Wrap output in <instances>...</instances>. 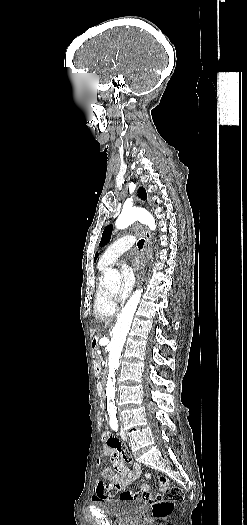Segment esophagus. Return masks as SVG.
<instances>
[{
	"instance_id": "esophagus-1",
	"label": "esophagus",
	"mask_w": 247,
	"mask_h": 525,
	"mask_svg": "<svg viewBox=\"0 0 247 525\" xmlns=\"http://www.w3.org/2000/svg\"><path fill=\"white\" fill-rule=\"evenodd\" d=\"M145 236H146V242H145V247H144L145 259L144 261H142V266H147V261L150 258V254H151V247H150L151 235H150L148 228L146 227H145Z\"/></svg>"
}]
</instances>
